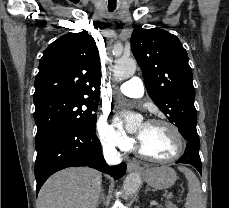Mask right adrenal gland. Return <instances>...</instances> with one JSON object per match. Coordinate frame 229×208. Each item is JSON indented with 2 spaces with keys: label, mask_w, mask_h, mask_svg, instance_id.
Here are the masks:
<instances>
[{
  "label": "right adrenal gland",
  "mask_w": 229,
  "mask_h": 208,
  "mask_svg": "<svg viewBox=\"0 0 229 208\" xmlns=\"http://www.w3.org/2000/svg\"><path fill=\"white\" fill-rule=\"evenodd\" d=\"M101 202H105V194H104V190H102L100 196H99V200L97 202V208L98 206H100Z\"/></svg>",
  "instance_id": "1"
}]
</instances>
